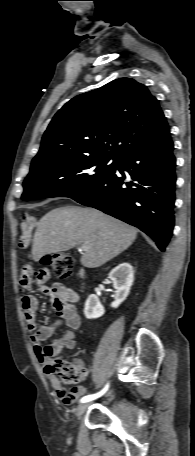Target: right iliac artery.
I'll return each instance as SVG.
<instances>
[{
  "label": "right iliac artery",
  "mask_w": 195,
  "mask_h": 456,
  "mask_svg": "<svg viewBox=\"0 0 195 456\" xmlns=\"http://www.w3.org/2000/svg\"><path fill=\"white\" fill-rule=\"evenodd\" d=\"M109 388V384H107L100 392L96 393V394H91V395H87V396H84L80 399V402L81 403H85V402H89V401H92L100 396H102Z\"/></svg>",
  "instance_id": "1"
}]
</instances>
